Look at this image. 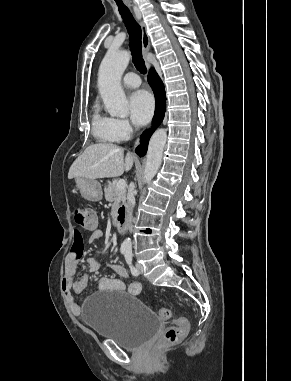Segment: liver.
I'll return each mask as SVG.
<instances>
[{"mask_svg": "<svg viewBox=\"0 0 291 381\" xmlns=\"http://www.w3.org/2000/svg\"><path fill=\"white\" fill-rule=\"evenodd\" d=\"M134 162L132 154L111 143H98L88 146L73 162L68 178L83 177L88 179L110 178L129 171Z\"/></svg>", "mask_w": 291, "mask_h": 381, "instance_id": "6515ba94", "label": "liver"}]
</instances>
